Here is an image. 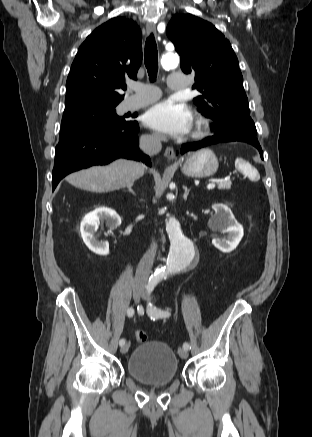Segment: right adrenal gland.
Masks as SVG:
<instances>
[{
  "label": "right adrenal gland",
  "mask_w": 312,
  "mask_h": 437,
  "mask_svg": "<svg viewBox=\"0 0 312 437\" xmlns=\"http://www.w3.org/2000/svg\"><path fill=\"white\" fill-rule=\"evenodd\" d=\"M127 190H128L130 193H132L133 195H135V192H134L132 186L127 187Z\"/></svg>",
  "instance_id": "2a0ac1e0"
}]
</instances>
